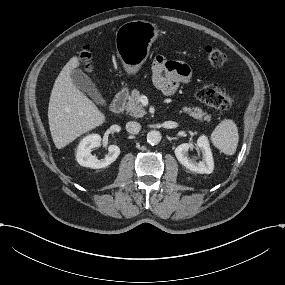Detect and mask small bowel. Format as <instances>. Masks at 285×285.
Listing matches in <instances>:
<instances>
[{
    "instance_id": "obj_1",
    "label": "small bowel",
    "mask_w": 285,
    "mask_h": 285,
    "mask_svg": "<svg viewBox=\"0 0 285 285\" xmlns=\"http://www.w3.org/2000/svg\"><path fill=\"white\" fill-rule=\"evenodd\" d=\"M151 72L154 85L166 96L174 94L180 84H189L192 80V71L187 64L162 56L154 59Z\"/></svg>"
}]
</instances>
